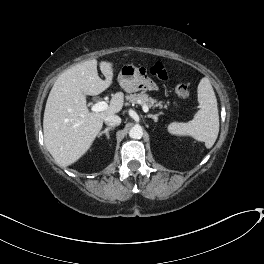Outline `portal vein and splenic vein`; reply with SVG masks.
Wrapping results in <instances>:
<instances>
[{"label": "portal vein and splenic vein", "mask_w": 264, "mask_h": 264, "mask_svg": "<svg viewBox=\"0 0 264 264\" xmlns=\"http://www.w3.org/2000/svg\"><path fill=\"white\" fill-rule=\"evenodd\" d=\"M107 108H108V104L106 102L99 101L92 105L91 110L92 112H102V111H105ZM142 109L145 113L149 111V108L146 105H144Z\"/></svg>", "instance_id": "18ae733b"}]
</instances>
